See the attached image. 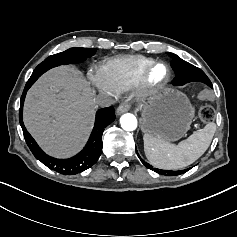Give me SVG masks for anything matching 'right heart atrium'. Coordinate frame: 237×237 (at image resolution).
Returning a JSON list of instances; mask_svg holds the SVG:
<instances>
[{
  "mask_svg": "<svg viewBox=\"0 0 237 237\" xmlns=\"http://www.w3.org/2000/svg\"><path fill=\"white\" fill-rule=\"evenodd\" d=\"M88 79L92 86L99 92L114 95L117 90L100 70H92L88 73Z\"/></svg>",
  "mask_w": 237,
  "mask_h": 237,
  "instance_id": "1",
  "label": "right heart atrium"
}]
</instances>
